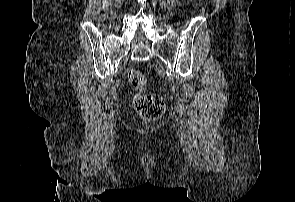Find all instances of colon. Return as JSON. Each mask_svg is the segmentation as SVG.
I'll return each instance as SVG.
<instances>
[{"mask_svg": "<svg viewBox=\"0 0 295 202\" xmlns=\"http://www.w3.org/2000/svg\"><path fill=\"white\" fill-rule=\"evenodd\" d=\"M128 81L137 90L133 98V105L136 111L145 120L159 119L165 111V104L161 96L143 93L146 87L144 74L138 69H131L128 72Z\"/></svg>", "mask_w": 295, "mask_h": 202, "instance_id": "colon-1", "label": "colon"}]
</instances>
